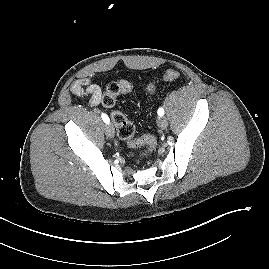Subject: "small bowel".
<instances>
[{
    "instance_id": "small-bowel-1",
    "label": "small bowel",
    "mask_w": 269,
    "mask_h": 269,
    "mask_svg": "<svg viewBox=\"0 0 269 269\" xmlns=\"http://www.w3.org/2000/svg\"><path fill=\"white\" fill-rule=\"evenodd\" d=\"M70 92L75 96H89L91 106L99 105L103 95L101 87L92 83L87 77L75 80L70 87Z\"/></svg>"
}]
</instances>
